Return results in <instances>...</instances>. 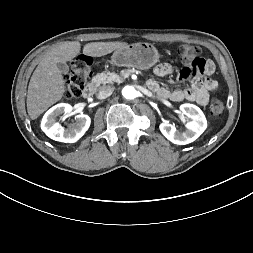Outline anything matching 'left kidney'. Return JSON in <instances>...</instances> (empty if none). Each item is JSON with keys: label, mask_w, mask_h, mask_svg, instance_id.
Returning <instances> with one entry per match:
<instances>
[{"label": "left kidney", "mask_w": 253, "mask_h": 253, "mask_svg": "<svg viewBox=\"0 0 253 253\" xmlns=\"http://www.w3.org/2000/svg\"><path fill=\"white\" fill-rule=\"evenodd\" d=\"M184 115L191 119L186 124V130L181 132L175 126L164 122L159 128L161 133L172 143L186 145L195 141L207 128V120L202 110L196 105L185 103L180 106Z\"/></svg>", "instance_id": "left-kidney-1"}]
</instances>
